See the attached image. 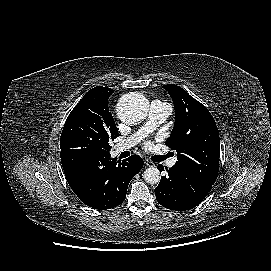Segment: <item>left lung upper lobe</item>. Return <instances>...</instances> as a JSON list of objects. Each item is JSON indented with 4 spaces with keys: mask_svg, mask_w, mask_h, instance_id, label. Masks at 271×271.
Here are the masks:
<instances>
[{
    "mask_svg": "<svg viewBox=\"0 0 271 271\" xmlns=\"http://www.w3.org/2000/svg\"><path fill=\"white\" fill-rule=\"evenodd\" d=\"M163 87L175 106V124L166 145L177 151L176 165L213 185L219 170L220 139L212 115L183 88Z\"/></svg>",
    "mask_w": 271,
    "mask_h": 271,
    "instance_id": "5c2ea615",
    "label": "left lung upper lobe"
}]
</instances>
